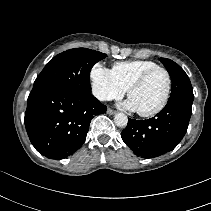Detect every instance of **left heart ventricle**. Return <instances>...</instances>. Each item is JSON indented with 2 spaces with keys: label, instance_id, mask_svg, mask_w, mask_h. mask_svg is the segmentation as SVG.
<instances>
[{
  "label": "left heart ventricle",
  "instance_id": "obj_1",
  "mask_svg": "<svg viewBox=\"0 0 211 211\" xmlns=\"http://www.w3.org/2000/svg\"><path fill=\"white\" fill-rule=\"evenodd\" d=\"M166 88L167 77L165 73L157 71L131 94L130 100L137 111H150L162 102Z\"/></svg>",
  "mask_w": 211,
  "mask_h": 211
}]
</instances>
